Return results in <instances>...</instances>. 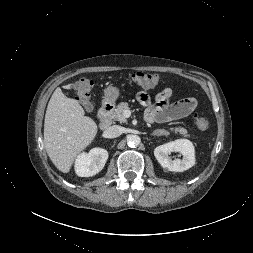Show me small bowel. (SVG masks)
I'll use <instances>...</instances> for the list:
<instances>
[{
    "mask_svg": "<svg viewBox=\"0 0 253 253\" xmlns=\"http://www.w3.org/2000/svg\"><path fill=\"white\" fill-rule=\"evenodd\" d=\"M171 96L172 90L168 87L160 91L154 101L144 91L137 94L139 103L146 107L145 117L148 122L176 121L191 114L197 106V101L193 97L170 103Z\"/></svg>",
    "mask_w": 253,
    "mask_h": 253,
    "instance_id": "c3829d8e",
    "label": "small bowel"
}]
</instances>
